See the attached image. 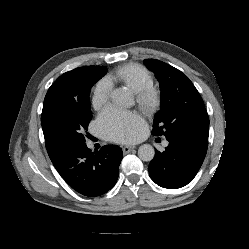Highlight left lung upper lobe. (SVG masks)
<instances>
[{
	"label": "left lung upper lobe",
	"instance_id": "5c2ea615",
	"mask_svg": "<svg viewBox=\"0 0 249 249\" xmlns=\"http://www.w3.org/2000/svg\"><path fill=\"white\" fill-rule=\"evenodd\" d=\"M161 89V110L155 115L152 134L168 141L208 144L209 117L192 82L180 70L156 59L144 60Z\"/></svg>",
	"mask_w": 249,
	"mask_h": 249
}]
</instances>
